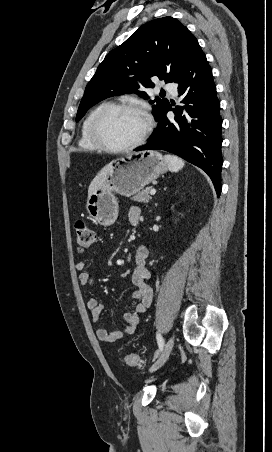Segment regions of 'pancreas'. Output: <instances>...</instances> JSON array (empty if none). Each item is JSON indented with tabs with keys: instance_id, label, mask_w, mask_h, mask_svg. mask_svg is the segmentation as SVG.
Returning <instances> with one entry per match:
<instances>
[{
	"instance_id": "pancreas-1",
	"label": "pancreas",
	"mask_w": 272,
	"mask_h": 452,
	"mask_svg": "<svg viewBox=\"0 0 272 452\" xmlns=\"http://www.w3.org/2000/svg\"><path fill=\"white\" fill-rule=\"evenodd\" d=\"M150 191H151V188L147 187L143 191L138 192L135 196H133L131 198V200L137 201V202H140V203H147L151 199V197L149 195Z\"/></svg>"
}]
</instances>
